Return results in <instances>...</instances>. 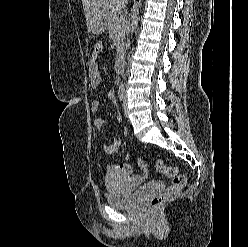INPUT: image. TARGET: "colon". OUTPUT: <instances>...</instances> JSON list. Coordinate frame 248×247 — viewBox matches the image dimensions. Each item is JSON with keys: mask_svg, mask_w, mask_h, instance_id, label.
Here are the masks:
<instances>
[{"mask_svg": "<svg viewBox=\"0 0 248 247\" xmlns=\"http://www.w3.org/2000/svg\"><path fill=\"white\" fill-rule=\"evenodd\" d=\"M102 48L101 42H96L94 45V50H100ZM138 166L144 175H147L148 168L146 163L142 159L137 160ZM155 169L158 173H162L170 178L171 183L162 195H159L152 199L151 206L153 208H159L168 200L176 196L187 183V178L185 175L181 174L177 167L170 166L165 163L164 160L158 159L155 162Z\"/></svg>", "mask_w": 248, "mask_h": 247, "instance_id": "colon-1", "label": "colon"}]
</instances>
